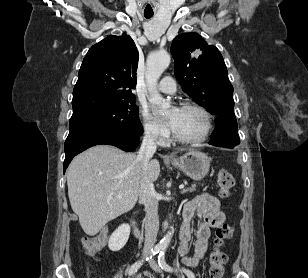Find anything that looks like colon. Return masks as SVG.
I'll return each mask as SVG.
<instances>
[{
  "instance_id": "obj_1",
  "label": "colon",
  "mask_w": 308,
  "mask_h": 278,
  "mask_svg": "<svg viewBox=\"0 0 308 278\" xmlns=\"http://www.w3.org/2000/svg\"><path fill=\"white\" fill-rule=\"evenodd\" d=\"M217 183L222 197H228L230 190L234 186L233 175L227 170H221L217 176ZM233 230L229 225L223 224L216 231L215 245L209 256V275L210 278H222L225 271L227 260L223 246L232 236ZM114 232L109 227H104L100 235L93 237H84L82 247L87 254L96 253L101 247H106L108 242L105 237H112Z\"/></svg>"
}]
</instances>
